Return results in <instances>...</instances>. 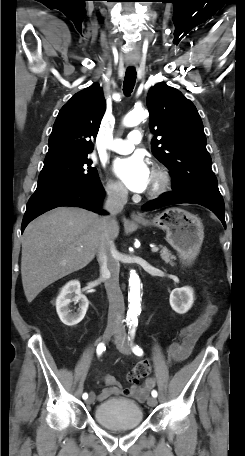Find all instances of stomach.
Returning <instances> with one entry per match:
<instances>
[{
  "label": "stomach",
  "instance_id": "obj_1",
  "mask_svg": "<svg viewBox=\"0 0 245 456\" xmlns=\"http://www.w3.org/2000/svg\"><path fill=\"white\" fill-rule=\"evenodd\" d=\"M137 223L156 226L166 231L167 242L179 253L185 264H191L200 251L204 227L201 220L188 211L169 208L152 220L141 219Z\"/></svg>",
  "mask_w": 245,
  "mask_h": 456
}]
</instances>
